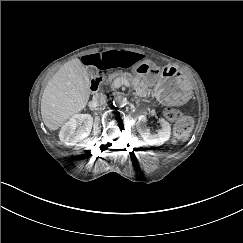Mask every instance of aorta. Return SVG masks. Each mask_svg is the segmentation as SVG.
<instances>
[{
	"label": "aorta",
	"mask_w": 243,
	"mask_h": 243,
	"mask_svg": "<svg viewBox=\"0 0 243 243\" xmlns=\"http://www.w3.org/2000/svg\"><path fill=\"white\" fill-rule=\"evenodd\" d=\"M113 104L117 108H124L127 105V98L123 94H116L113 97Z\"/></svg>",
	"instance_id": "762f6f07"
}]
</instances>
